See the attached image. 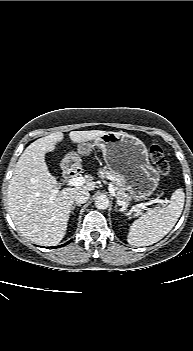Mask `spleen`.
I'll list each match as a JSON object with an SVG mask.
<instances>
[{
    "label": "spleen",
    "mask_w": 193,
    "mask_h": 351,
    "mask_svg": "<svg viewBox=\"0 0 193 351\" xmlns=\"http://www.w3.org/2000/svg\"><path fill=\"white\" fill-rule=\"evenodd\" d=\"M184 201L185 194L183 190H175L167 206L150 209L132 223L127 236L128 243L141 247L152 245L161 240L178 221L183 210Z\"/></svg>",
    "instance_id": "3e777b00"
}]
</instances>
